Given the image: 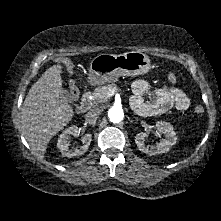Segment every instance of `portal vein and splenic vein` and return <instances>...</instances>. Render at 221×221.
<instances>
[{
  "label": "portal vein and splenic vein",
  "instance_id": "18ae733b",
  "mask_svg": "<svg viewBox=\"0 0 221 221\" xmlns=\"http://www.w3.org/2000/svg\"><path fill=\"white\" fill-rule=\"evenodd\" d=\"M114 94H115V91H114V90H110V91H109V95H110V96H113Z\"/></svg>",
  "mask_w": 221,
  "mask_h": 221
}]
</instances>
